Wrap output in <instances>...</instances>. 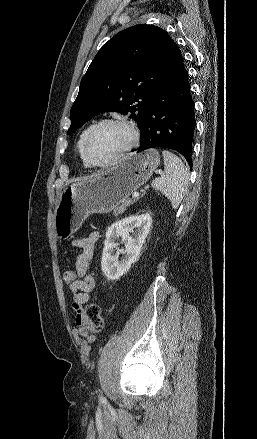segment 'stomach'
<instances>
[{
  "label": "stomach",
  "mask_w": 257,
  "mask_h": 439,
  "mask_svg": "<svg viewBox=\"0 0 257 439\" xmlns=\"http://www.w3.org/2000/svg\"><path fill=\"white\" fill-rule=\"evenodd\" d=\"M160 163L156 149L122 158L117 165L65 187L54 210L55 234L67 239L93 213L107 214L148 181Z\"/></svg>",
  "instance_id": "1"
}]
</instances>
